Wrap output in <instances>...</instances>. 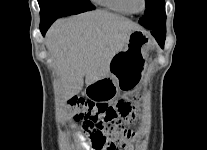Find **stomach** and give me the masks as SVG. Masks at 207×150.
Listing matches in <instances>:
<instances>
[{
	"instance_id": "obj_1",
	"label": "stomach",
	"mask_w": 207,
	"mask_h": 150,
	"mask_svg": "<svg viewBox=\"0 0 207 150\" xmlns=\"http://www.w3.org/2000/svg\"><path fill=\"white\" fill-rule=\"evenodd\" d=\"M150 43L151 39L145 31H132L123 50L112 58L109 75L88 85L86 95L94 100L109 101L119 90L134 87L143 75Z\"/></svg>"
}]
</instances>
